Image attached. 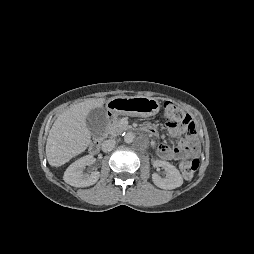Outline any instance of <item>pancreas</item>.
<instances>
[{"label": "pancreas", "mask_w": 254, "mask_h": 254, "mask_svg": "<svg viewBox=\"0 0 254 254\" xmlns=\"http://www.w3.org/2000/svg\"><path fill=\"white\" fill-rule=\"evenodd\" d=\"M126 129L127 127L122 124L121 119L119 118H116L111 124H109V134L113 136L123 132Z\"/></svg>", "instance_id": "pancreas-1"}]
</instances>
